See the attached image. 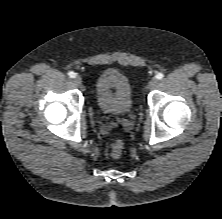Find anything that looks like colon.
Wrapping results in <instances>:
<instances>
[{"instance_id": "1", "label": "colon", "mask_w": 222, "mask_h": 219, "mask_svg": "<svg viewBox=\"0 0 222 219\" xmlns=\"http://www.w3.org/2000/svg\"><path fill=\"white\" fill-rule=\"evenodd\" d=\"M123 142L120 139H116L113 141L111 148H110V154L113 158H119L123 151Z\"/></svg>"}]
</instances>
